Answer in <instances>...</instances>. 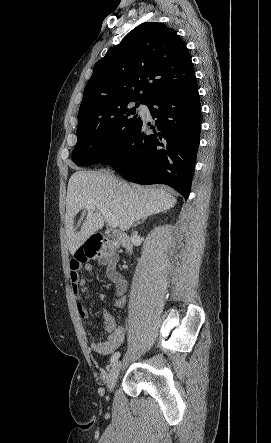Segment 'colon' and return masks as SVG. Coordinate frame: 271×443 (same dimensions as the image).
I'll return each mask as SVG.
<instances>
[{
    "instance_id": "1",
    "label": "colon",
    "mask_w": 271,
    "mask_h": 443,
    "mask_svg": "<svg viewBox=\"0 0 271 443\" xmlns=\"http://www.w3.org/2000/svg\"><path fill=\"white\" fill-rule=\"evenodd\" d=\"M115 252V244L95 236L88 239L79 247L74 259L79 263H85L98 258L104 263H111L114 259Z\"/></svg>"
}]
</instances>
